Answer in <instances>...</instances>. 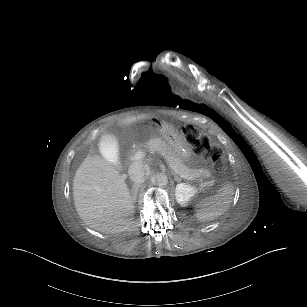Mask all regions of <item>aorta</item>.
<instances>
[{
  "instance_id": "obj_1",
  "label": "aorta",
  "mask_w": 307,
  "mask_h": 307,
  "mask_svg": "<svg viewBox=\"0 0 307 307\" xmlns=\"http://www.w3.org/2000/svg\"><path fill=\"white\" fill-rule=\"evenodd\" d=\"M152 183L159 187L165 186L168 183V177L164 173H158L152 177Z\"/></svg>"
}]
</instances>
